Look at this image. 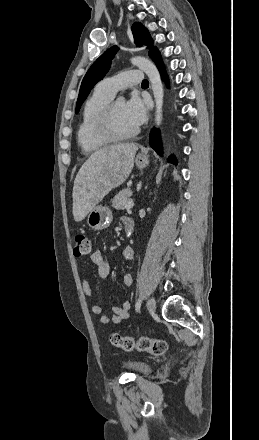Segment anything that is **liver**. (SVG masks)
I'll use <instances>...</instances> for the list:
<instances>
[{
	"label": "liver",
	"instance_id": "liver-1",
	"mask_svg": "<svg viewBox=\"0 0 259 440\" xmlns=\"http://www.w3.org/2000/svg\"><path fill=\"white\" fill-rule=\"evenodd\" d=\"M138 150L135 143L112 145L92 153L80 168L73 186V216L76 222L130 175Z\"/></svg>",
	"mask_w": 259,
	"mask_h": 440
}]
</instances>
